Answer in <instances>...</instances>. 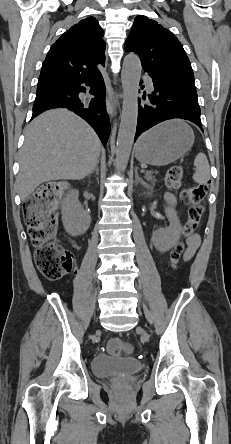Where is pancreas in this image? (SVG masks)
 Listing matches in <instances>:
<instances>
[{"label": "pancreas", "mask_w": 231, "mask_h": 444, "mask_svg": "<svg viewBox=\"0 0 231 444\" xmlns=\"http://www.w3.org/2000/svg\"><path fill=\"white\" fill-rule=\"evenodd\" d=\"M156 171L150 170V171H146L145 173V178L149 181V182H155V176L154 174H156Z\"/></svg>", "instance_id": "cf45deb5"}]
</instances>
